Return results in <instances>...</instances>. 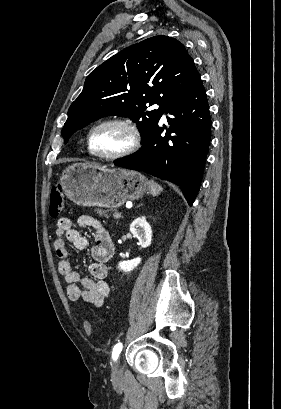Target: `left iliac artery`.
Instances as JSON below:
<instances>
[{
    "instance_id": "left-iliac-artery-1",
    "label": "left iliac artery",
    "mask_w": 281,
    "mask_h": 409,
    "mask_svg": "<svg viewBox=\"0 0 281 409\" xmlns=\"http://www.w3.org/2000/svg\"><path fill=\"white\" fill-rule=\"evenodd\" d=\"M121 350H122V343H117V344L114 346L113 351H112V358H113V360H117V358H118V356H119Z\"/></svg>"
}]
</instances>
